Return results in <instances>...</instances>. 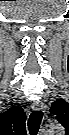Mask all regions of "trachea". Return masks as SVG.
I'll return each mask as SVG.
<instances>
[{
  "label": "trachea",
  "instance_id": "obj_1",
  "mask_svg": "<svg viewBox=\"0 0 69 135\" xmlns=\"http://www.w3.org/2000/svg\"><path fill=\"white\" fill-rule=\"evenodd\" d=\"M42 118H43L42 111L35 110L30 114L28 119V130L30 135H36L38 133Z\"/></svg>",
  "mask_w": 69,
  "mask_h": 135
}]
</instances>
